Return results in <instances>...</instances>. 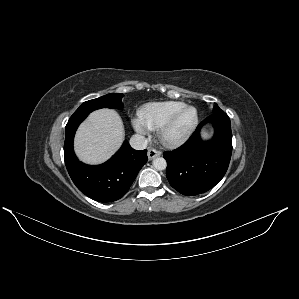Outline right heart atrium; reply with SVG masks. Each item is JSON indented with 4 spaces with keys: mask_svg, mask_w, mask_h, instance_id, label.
Listing matches in <instances>:
<instances>
[{
    "mask_svg": "<svg viewBox=\"0 0 299 299\" xmlns=\"http://www.w3.org/2000/svg\"><path fill=\"white\" fill-rule=\"evenodd\" d=\"M132 125L134 129L140 134H146L148 132V128L144 125V123L140 119H133Z\"/></svg>",
    "mask_w": 299,
    "mask_h": 299,
    "instance_id": "1",
    "label": "right heart atrium"
}]
</instances>
